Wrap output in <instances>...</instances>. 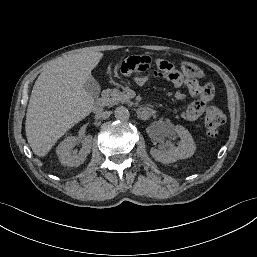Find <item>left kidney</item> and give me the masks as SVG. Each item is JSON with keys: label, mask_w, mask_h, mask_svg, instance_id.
I'll return each mask as SVG.
<instances>
[{"label": "left kidney", "mask_w": 257, "mask_h": 257, "mask_svg": "<svg viewBox=\"0 0 257 257\" xmlns=\"http://www.w3.org/2000/svg\"><path fill=\"white\" fill-rule=\"evenodd\" d=\"M172 132L177 133L181 141L177 147L172 146L165 149L164 143L159 146L158 149L152 148L150 154L152 157L161 163H173L180 159H186L191 157L196 149L195 142L187 129L183 126L177 125L174 127H169L166 131L159 134V140L163 142L165 137L172 134Z\"/></svg>", "instance_id": "obj_1"}]
</instances>
